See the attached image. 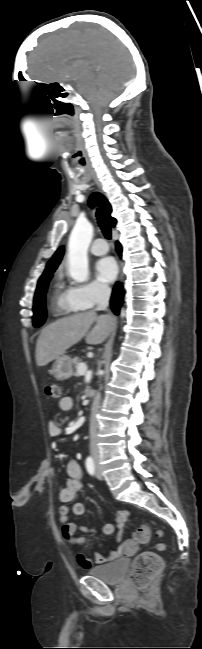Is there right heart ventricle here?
Here are the masks:
<instances>
[{
    "label": "right heart ventricle",
    "mask_w": 202,
    "mask_h": 649,
    "mask_svg": "<svg viewBox=\"0 0 202 649\" xmlns=\"http://www.w3.org/2000/svg\"><path fill=\"white\" fill-rule=\"evenodd\" d=\"M71 288L65 283L62 275H57L54 279L51 292L52 310L59 314H70L78 311L79 308L74 306L69 300Z\"/></svg>",
    "instance_id": "1"
}]
</instances>
